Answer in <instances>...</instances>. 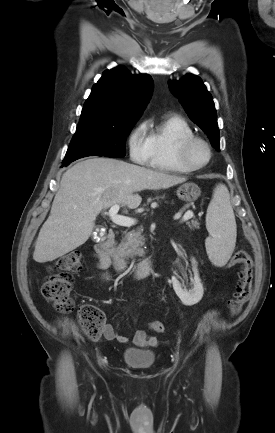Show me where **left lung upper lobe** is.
Masks as SVG:
<instances>
[{
  "label": "left lung upper lobe",
  "mask_w": 275,
  "mask_h": 433,
  "mask_svg": "<svg viewBox=\"0 0 275 433\" xmlns=\"http://www.w3.org/2000/svg\"><path fill=\"white\" fill-rule=\"evenodd\" d=\"M168 84L189 118L207 134L212 146L219 151L217 114L211 94L202 80L187 74L179 81H170Z\"/></svg>",
  "instance_id": "5c2ea615"
}]
</instances>
